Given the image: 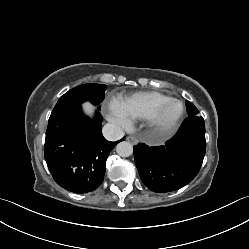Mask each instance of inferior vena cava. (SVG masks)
Returning <instances> with one entry per match:
<instances>
[{"instance_id": "inferior-vena-cava-1", "label": "inferior vena cava", "mask_w": 249, "mask_h": 249, "mask_svg": "<svg viewBox=\"0 0 249 249\" xmlns=\"http://www.w3.org/2000/svg\"><path fill=\"white\" fill-rule=\"evenodd\" d=\"M104 137L109 141H117L124 136V130L112 123H107L102 129Z\"/></svg>"}]
</instances>
